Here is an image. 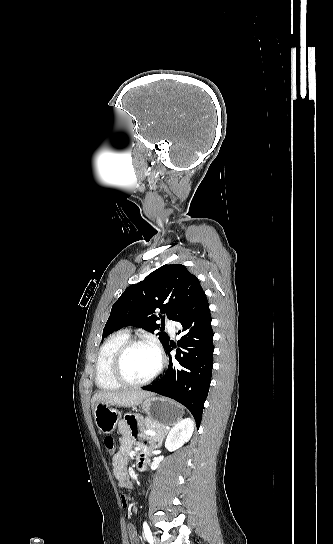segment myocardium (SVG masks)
<instances>
[{"instance_id": "myocardium-1", "label": "myocardium", "mask_w": 333, "mask_h": 544, "mask_svg": "<svg viewBox=\"0 0 333 544\" xmlns=\"http://www.w3.org/2000/svg\"><path fill=\"white\" fill-rule=\"evenodd\" d=\"M139 345L148 346L156 352L158 357V365L154 372L148 378L142 381H131L124 374L123 362L129 350ZM165 362L166 361L162 350L156 342L147 338H129L117 349L113 356L111 363V375L113 379L122 386L131 388L142 387L152 383L160 375L165 366Z\"/></svg>"}]
</instances>
